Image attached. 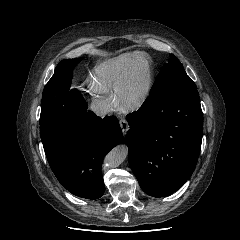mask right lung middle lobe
<instances>
[{
	"instance_id": "obj_1",
	"label": "right lung middle lobe",
	"mask_w": 240,
	"mask_h": 240,
	"mask_svg": "<svg viewBox=\"0 0 240 240\" xmlns=\"http://www.w3.org/2000/svg\"><path fill=\"white\" fill-rule=\"evenodd\" d=\"M82 58L65 59L58 63L54 74L43 90L41 101L40 124L49 119L58 109L68 108L70 98L77 93L76 89L70 90L72 71Z\"/></svg>"
}]
</instances>
